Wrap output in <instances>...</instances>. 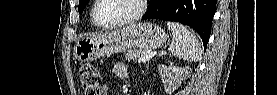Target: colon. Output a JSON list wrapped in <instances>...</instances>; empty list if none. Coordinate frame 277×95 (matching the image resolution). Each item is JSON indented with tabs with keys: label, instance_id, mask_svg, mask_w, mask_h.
I'll use <instances>...</instances> for the list:
<instances>
[{
	"label": "colon",
	"instance_id": "1",
	"mask_svg": "<svg viewBox=\"0 0 277 95\" xmlns=\"http://www.w3.org/2000/svg\"><path fill=\"white\" fill-rule=\"evenodd\" d=\"M79 78L84 94H98L100 75L95 66L89 64L82 65L79 68Z\"/></svg>",
	"mask_w": 277,
	"mask_h": 95
}]
</instances>
